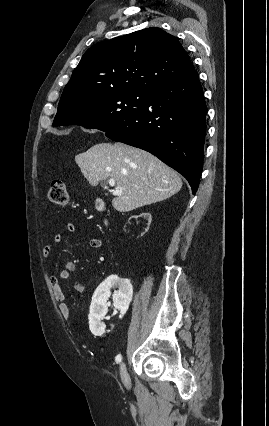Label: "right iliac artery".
Here are the masks:
<instances>
[{
  "label": "right iliac artery",
  "mask_w": 269,
  "mask_h": 426,
  "mask_svg": "<svg viewBox=\"0 0 269 426\" xmlns=\"http://www.w3.org/2000/svg\"><path fill=\"white\" fill-rule=\"evenodd\" d=\"M115 360H116V362H117V363H120V362H121V360H122V356H121V354H118V355L116 356Z\"/></svg>",
  "instance_id": "right-iliac-artery-1"
}]
</instances>
